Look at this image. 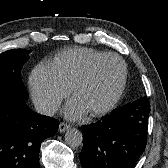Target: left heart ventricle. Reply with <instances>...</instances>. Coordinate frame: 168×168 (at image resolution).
I'll use <instances>...</instances> for the list:
<instances>
[{
	"mask_svg": "<svg viewBox=\"0 0 168 168\" xmlns=\"http://www.w3.org/2000/svg\"><path fill=\"white\" fill-rule=\"evenodd\" d=\"M121 78V67L116 60H106L95 71L93 78L76 94L88 111L106 104Z\"/></svg>",
	"mask_w": 168,
	"mask_h": 168,
	"instance_id": "obj_1",
	"label": "left heart ventricle"
}]
</instances>
